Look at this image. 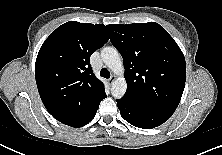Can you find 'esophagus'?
<instances>
[{
    "instance_id": "obj_1",
    "label": "esophagus",
    "mask_w": 222,
    "mask_h": 155,
    "mask_svg": "<svg viewBox=\"0 0 222 155\" xmlns=\"http://www.w3.org/2000/svg\"><path fill=\"white\" fill-rule=\"evenodd\" d=\"M115 79H116V76L112 75L108 81L112 83Z\"/></svg>"
}]
</instances>
